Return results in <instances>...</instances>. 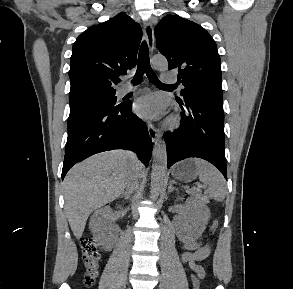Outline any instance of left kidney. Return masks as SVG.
I'll return each instance as SVG.
<instances>
[{
  "instance_id": "left-kidney-1",
  "label": "left kidney",
  "mask_w": 293,
  "mask_h": 289,
  "mask_svg": "<svg viewBox=\"0 0 293 289\" xmlns=\"http://www.w3.org/2000/svg\"><path fill=\"white\" fill-rule=\"evenodd\" d=\"M210 219V210L203 203L187 201L183 222L177 228V236L183 242H193L204 232Z\"/></svg>"
}]
</instances>
